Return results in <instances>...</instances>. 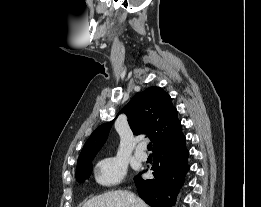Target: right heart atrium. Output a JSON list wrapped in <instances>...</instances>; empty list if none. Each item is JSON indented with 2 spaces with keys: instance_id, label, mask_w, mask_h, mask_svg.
I'll return each mask as SVG.
<instances>
[{
  "instance_id": "1",
  "label": "right heart atrium",
  "mask_w": 261,
  "mask_h": 207,
  "mask_svg": "<svg viewBox=\"0 0 261 207\" xmlns=\"http://www.w3.org/2000/svg\"><path fill=\"white\" fill-rule=\"evenodd\" d=\"M126 163L117 156L102 159L96 167V179L104 186L118 185L126 175Z\"/></svg>"
}]
</instances>
